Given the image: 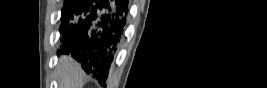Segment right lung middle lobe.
Segmentation results:
<instances>
[{"label":"right lung middle lobe","instance_id":"obj_1","mask_svg":"<svg viewBox=\"0 0 267 88\" xmlns=\"http://www.w3.org/2000/svg\"><path fill=\"white\" fill-rule=\"evenodd\" d=\"M70 4H71V1L70 0H65L64 7L69 6Z\"/></svg>","mask_w":267,"mask_h":88}]
</instances>
